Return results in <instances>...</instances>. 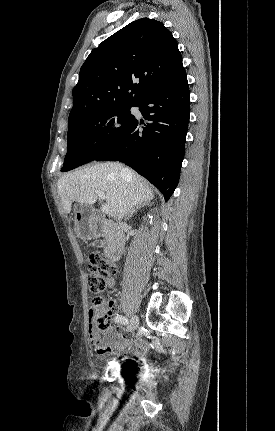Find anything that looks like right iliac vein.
Wrapping results in <instances>:
<instances>
[{"mask_svg": "<svg viewBox=\"0 0 275 431\" xmlns=\"http://www.w3.org/2000/svg\"><path fill=\"white\" fill-rule=\"evenodd\" d=\"M139 325V319L137 316L132 317L130 323L127 325V330L132 331L135 330Z\"/></svg>", "mask_w": 275, "mask_h": 431, "instance_id": "63e3f726", "label": "right iliac vein"}]
</instances>
